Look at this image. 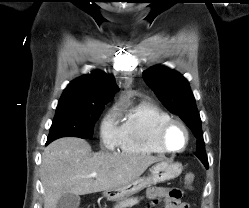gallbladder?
Here are the masks:
<instances>
[{
  "label": "gallbladder",
  "mask_w": 249,
  "mask_h": 208,
  "mask_svg": "<svg viewBox=\"0 0 249 208\" xmlns=\"http://www.w3.org/2000/svg\"><path fill=\"white\" fill-rule=\"evenodd\" d=\"M80 196L73 193L64 194L57 202L56 208H78Z\"/></svg>",
  "instance_id": "gallbladder-1"
}]
</instances>
